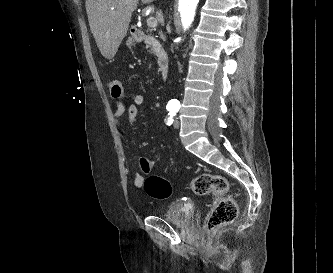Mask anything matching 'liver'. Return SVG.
<instances>
[{
    "label": "liver",
    "mask_w": 333,
    "mask_h": 273,
    "mask_svg": "<svg viewBox=\"0 0 333 273\" xmlns=\"http://www.w3.org/2000/svg\"><path fill=\"white\" fill-rule=\"evenodd\" d=\"M154 0H141L149 4ZM139 0H86L91 32L101 54L112 59L126 36L132 13ZM114 8V10H112Z\"/></svg>",
    "instance_id": "1"
}]
</instances>
